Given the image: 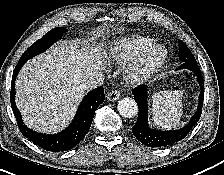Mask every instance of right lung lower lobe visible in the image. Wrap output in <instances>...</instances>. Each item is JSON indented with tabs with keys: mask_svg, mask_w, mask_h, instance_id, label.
I'll return each instance as SVG.
<instances>
[{
	"mask_svg": "<svg viewBox=\"0 0 224 175\" xmlns=\"http://www.w3.org/2000/svg\"><path fill=\"white\" fill-rule=\"evenodd\" d=\"M26 61H19L14 69L11 81L10 102L21 133L34 144L47 151H68L75 147L89 132L94 113L97 107L104 101L103 87H98L89 92L81 102L72 123L61 133L46 135L37 133L24 125L20 112L15 104V79Z\"/></svg>",
	"mask_w": 224,
	"mask_h": 175,
	"instance_id": "98d812e1",
	"label": "right lung lower lobe"
}]
</instances>
